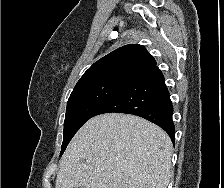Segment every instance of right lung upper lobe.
<instances>
[{
    "instance_id": "1",
    "label": "right lung upper lobe",
    "mask_w": 224,
    "mask_h": 188,
    "mask_svg": "<svg viewBox=\"0 0 224 188\" xmlns=\"http://www.w3.org/2000/svg\"><path fill=\"white\" fill-rule=\"evenodd\" d=\"M153 65L156 61L144 46L129 44L95 62L77 84L113 77L132 80Z\"/></svg>"
}]
</instances>
